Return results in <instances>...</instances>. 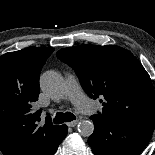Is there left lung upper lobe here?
Segmentation results:
<instances>
[{
	"label": "left lung upper lobe",
	"mask_w": 155,
	"mask_h": 155,
	"mask_svg": "<svg viewBox=\"0 0 155 155\" xmlns=\"http://www.w3.org/2000/svg\"><path fill=\"white\" fill-rule=\"evenodd\" d=\"M56 56L74 69L91 98H101L100 115L155 119L150 76L130 51L114 45H82L63 48Z\"/></svg>",
	"instance_id": "left-lung-upper-lobe-1"
}]
</instances>
